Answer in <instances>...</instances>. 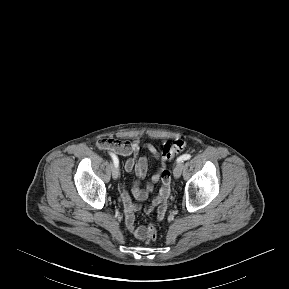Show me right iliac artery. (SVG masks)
Wrapping results in <instances>:
<instances>
[{
    "instance_id": "82829eb1",
    "label": "right iliac artery",
    "mask_w": 289,
    "mask_h": 289,
    "mask_svg": "<svg viewBox=\"0 0 289 289\" xmlns=\"http://www.w3.org/2000/svg\"><path fill=\"white\" fill-rule=\"evenodd\" d=\"M110 156H111V158L113 160L114 166L118 167L119 161H118L117 156L115 154H113V153H110Z\"/></svg>"
}]
</instances>
